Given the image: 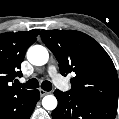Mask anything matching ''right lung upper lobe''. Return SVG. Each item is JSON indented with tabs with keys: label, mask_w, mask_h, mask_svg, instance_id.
Here are the masks:
<instances>
[{
	"label": "right lung upper lobe",
	"mask_w": 119,
	"mask_h": 119,
	"mask_svg": "<svg viewBox=\"0 0 119 119\" xmlns=\"http://www.w3.org/2000/svg\"><path fill=\"white\" fill-rule=\"evenodd\" d=\"M39 30L0 34V98L23 93L27 90L12 84L19 71L26 50L36 40Z\"/></svg>",
	"instance_id": "cb5924a9"
}]
</instances>
